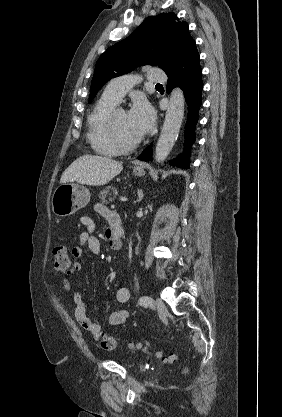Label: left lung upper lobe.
<instances>
[{"instance_id":"5c2ea615","label":"left lung upper lobe","mask_w":282,"mask_h":417,"mask_svg":"<svg viewBox=\"0 0 282 417\" xmlns=\"http://www.w3.org/2000/svg\"><path fill=\"white\" fill-rule=\"evenodd\" d=\"M192 40L188 24L180 22L174 13L146 18L129 37L100 56L91 83L89 103L108 80L136 67L158 66L166 72L176 55Z\"/></svg>"}]
</instances>
